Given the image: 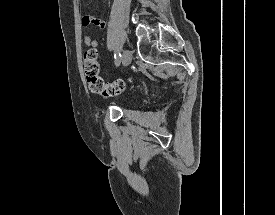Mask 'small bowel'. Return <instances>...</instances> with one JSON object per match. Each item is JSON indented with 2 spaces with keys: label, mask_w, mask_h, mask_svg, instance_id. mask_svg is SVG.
<instances>
[{
  "label": "small bowel",
  "mask_w": 275,
  "mask_h": 215,
  "mask_svg": "<svg viewBox=\"0 0 275 215\" xmlns=\"http://www.w3.org/2000/svg\"><path fill=\"white\" fill-rule=\"evenodd\" d=\"M82 24L84 26H96V27H100V28H105L106 27V22L104 20H100L96 17L93 16H86L83 18L82 20ZM83 42L85 44V46L89 47V48H96L99 41L95 40L93 38H91L89 35H85L83 38Z\"/></svg>",
  "instance_id": "obj_1"
}]
</instances>
